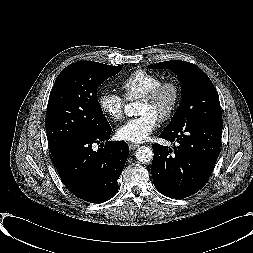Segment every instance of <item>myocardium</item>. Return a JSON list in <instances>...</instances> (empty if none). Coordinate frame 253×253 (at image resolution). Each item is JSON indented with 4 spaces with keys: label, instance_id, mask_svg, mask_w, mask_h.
<instances>
[{
    "label": "myocardium",
    "instance_id": "f54148a6",
    "mask_svg": "<svg viewBox=\"0 0 253 253\" xmlns=\"http://www.w3.org/2000/svg\"><path fill=\"white\" fill-rule=\"evenodd\" d=\"M165 89H171L173 91V101L168 110L157 119L158 122L161 123L168 121L175 114L176 110L180 105L182 89L179 83L174 80L162 81L154 88H152L147 94L140 98V101L142 102L152 103L160 96V94Z\"/></svg>",
    "mask_w": 253,
    "mask_h": 253
}]
</instances>
